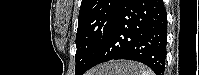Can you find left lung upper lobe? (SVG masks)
Instances as JSON below:
<instances>
[{
  "mask_svg": "<svg viewBox=\"0 0 199 75\" xmlns=\"http://www.w3.org/2000/svg\"><path fill=\"white\" fill-rule=\"evenodd\" d=\"M125 1L82 0L76 34V75H82L89 69Z\"/></svg>",
  "mask_w": 199,
  "mask_h": 75,
  "instance_id": "1",
  "label": "left lung upper lobe"
}]
</instances>
